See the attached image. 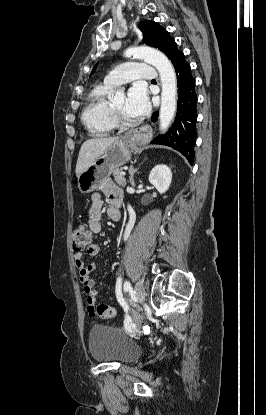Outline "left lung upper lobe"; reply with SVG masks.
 I'll use <instances>...</instances> for the list:
<instances>
[{"instance_id":"5c2ea615","label":"left lung upper lobe","mask_w":266,"mask_h":415,"mask_svg":"<svg viewBox=\"0 0 266 415\" xmlns=\"http://www.w3.org/2000/svg\"><path fill=\"white\" fill-rule=\"evenodd\" d=\"M138 28L143 33V41L151 46L158 48L171 60L172 64L176 57L182 53L177 49L175 41L170 37L163 27L154 21L145 20L139 23ZM97 66V65H96ZM96 66L93 71H95Z\"/></svg>"}]
</instances>
